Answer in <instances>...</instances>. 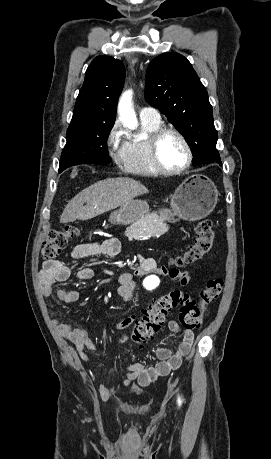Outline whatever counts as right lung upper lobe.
Segmentation results:
<instances>
[{
	"mask_svg": "<svg viewBox=\"0 0 271 459\" xmlns=\"http://www.w3.org/2000/svg\"><path fill=\"white\" fill-rule=\"evenodd\" d=\"M125 80L124 64L110 56H98L89 65L77 97L73 117H116L118 97Z\"/></svg>",
	"mask_w": 271,
	"mask_h": 459,
	"instance_id": "1",
	"label": "right lung upper lobe"
}]
</instances>
